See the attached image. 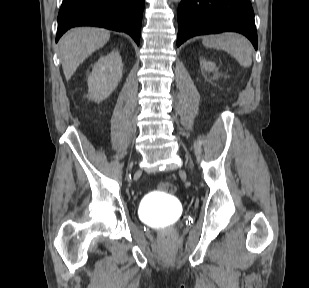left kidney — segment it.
Returning <instances> with one entry per match:
<instances>
[{"instance_id":"1","label":"left kidney","mask_w":309,"mask_h":288,"mask_svg":"<svg viewBox=\"0 0 309 288\" xmlns=\"http://www.w3.org/2000/svg\"><path fill=\"white\" fill-rule=\"evenodd\" d=\"M201 67H202L205 71H208V72H213V71H216V70H217L215 63L212 62V61L203 60V61L201 62Z\"/></svg>"}]
</instances>
